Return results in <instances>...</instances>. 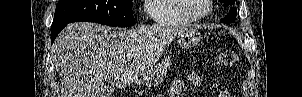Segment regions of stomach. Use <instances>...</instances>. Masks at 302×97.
<instances>
[{
	"mask_svg": "<svg viewBox=\"0 0 302 97\" xmlns=\"http://www.w3.org/2000/svg\"><path fill=\"white\" fill-rule=\"evenodd\" d=\"M177 40L182 48H190L200 42L201 34L196 29H186L178 34ZM170 64V58H164V60L152 67L145 75L141 76L137 80V83L149 88L158 86L166 77Z\"/></svg>",
	"mask_w": 302,
	"mask_h": 97,
	"instance_id": "0dacf381",
	"label": "stomach"
}]
</instances>
